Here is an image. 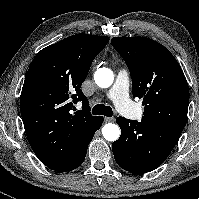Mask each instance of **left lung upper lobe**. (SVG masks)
Segmentation results:
<instances>
[{"mask_svg":"<svg viewBox=\"0 0 199 199\" xmlns=\"http://www.w3.org/2000/svg\"><path fill=\"white\" fill-rule=\"evenodd\" d=\"M111 43L129 68L133 97L143 98L142 120L181 135L187 120L189 87L171 52L145 37L112 38Z\"/></svg>","mask_w":199,"mask_h":199,"instance_id":"1","label":"left lung upper lobe"}]
</instances>
